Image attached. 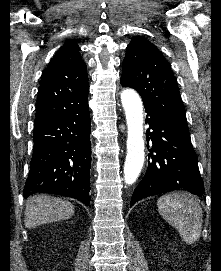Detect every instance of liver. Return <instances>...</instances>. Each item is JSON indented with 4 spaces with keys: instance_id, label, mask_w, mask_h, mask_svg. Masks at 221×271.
Instances as JSON below:
<instances>
[{
    "instance_id": "1",
    "label": "liver",
    "mask_w": 221,
    "mask_h": 271,
    "mask_svg": "<svg viewBox=\"0 0 221 271\" xmlns=\"http://www.w3.org/2000/svg\"><path fill=\"white\" fill-rule=\"evenodd\" d=\"M75 207L62 197H51V195H32L28 197L25 205V225L35 227L49 221H60L69 219L74 215Z\"/></svg>"
}]
</instances>
